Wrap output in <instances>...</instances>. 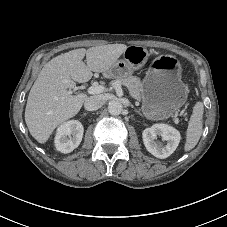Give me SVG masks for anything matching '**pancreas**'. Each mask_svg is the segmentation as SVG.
<instances>
[{
    "label": "pancreas",
    "mask_w": 227,
    "mask_h": 227,
    "mask_svg": "<svg viewBox=\"0 0 227 227\" xmlns=\"http://www.w3.org/2000/svg\"><path fill=\"white\" fill-rule=\"evenodd\" d=\"M116 81H119L121 84L126 86L133 98L140 100L142 83L139 77L129 75L127 77L117 79Z\"/></svg>",
    "instance_id": "obj_1"
}]
</instances>
